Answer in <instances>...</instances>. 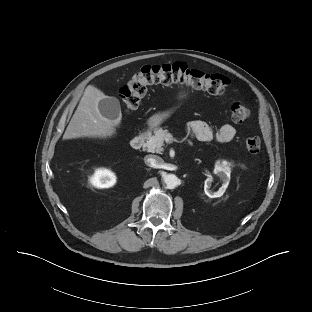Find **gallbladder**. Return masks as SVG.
<instances>
[{"mask_svg":"<svg viewBox=\"0 0 312 312\" xmlns=\"http://www.w3.org/2000/svg\"><path fill=\"white\" fill-rule=\"evenodd\" d=\"M98 108L100 113L117 123L120 122L122 114H121V108H120V102L115 97H106L102 99L99 104Z\"/></svg>","mask_w":312,"mask_h":312,"instance_id":"bac80fb5","label":"gallbladder"}]
</instances>
